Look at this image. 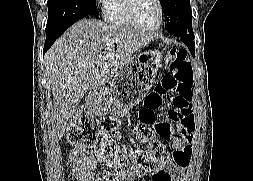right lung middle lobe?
<instances>
[{"label":"right lung middle lobe","mask_w":253,"mask_h":181,"mask_svg":"<svg viewBox=\"0 0 253 181\" xmlns=\"http://www.w3.org/2000/svg\"><path fill=\"white\" fill-rule=\"evenodd\" d=\"M46 34L57 32L86 15L98 14L95 0H48Z\"/></svg>","instance_id":"right-lung-middle-lobe-1"}]
</instances>
